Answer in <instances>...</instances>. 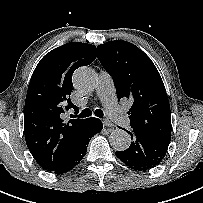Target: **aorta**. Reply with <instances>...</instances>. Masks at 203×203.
Segmentation results:
<instances>
[{
    "mask_svg": "<svg viewBox=\"0 0 203 203\" xmlns=\"http://www.w3.org/2000/svg\"><path fill=\"white\" fill-rule=\"evenodd\" d=\"M97 81L96 73L87 67L77 69L73 76L74 86L81 93L93 91L97 85ZM109 143L113 149L124 151L127 150L131 144V137L126 131L115 129L110 133Z\"/></svg>",
    "mask_w": 203,
    "mask_h": 203,
    "instance_id": "obj_1",
    "label": "aorta"
}]
</instances>
